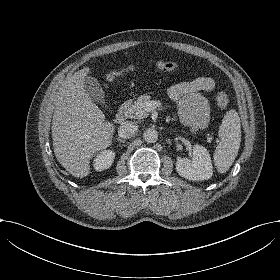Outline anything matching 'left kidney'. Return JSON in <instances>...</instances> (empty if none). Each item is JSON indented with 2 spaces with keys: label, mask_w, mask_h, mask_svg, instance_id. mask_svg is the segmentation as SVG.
I'll return each instance as SVG.
<instances>
[{
  "label": "left kidney",
  "mask_w": 280,
  "mask_h": 280,
  "mask_svg": "<svg viewBox=\"0 0 280 280\" xmlns=\"http://www.w3.org/2000/svg\"><path fill=\"white\" fill-rule=\"evenodd\" d=\"M176 169L178 173L188 180H207L213 176V166L209 151L202 145H193V155L177 157Z\"/></svg>",
  "instance_id": "obj_1"
}]
</instances>
